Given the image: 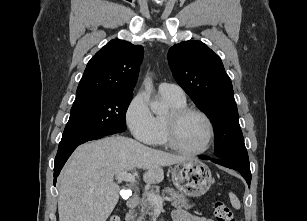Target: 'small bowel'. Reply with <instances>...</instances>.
Instances as JSON below:
<instances>
[{
	"label": "small bowel",
	"mask_w": 307,
	"mask_h": 221,
	"mask_svg": "<svg viewBox=\"0 0 307 221\" xmlns=\"http://www.w3.org/2000/svg\"><path fill=\"white\" fill-rule=\"evenodd\" d=\"M173 221H213L204 216L193 215L185 209L177 208L172 212Z\"/></svg>",
	"instance_id": "small-bowel-1"
}]
</instances>
